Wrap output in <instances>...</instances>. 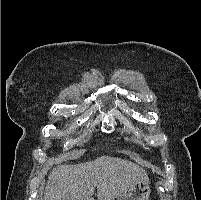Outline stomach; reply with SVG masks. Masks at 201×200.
Masks as SVG:
<instances>
[{"label": "stomach", "mask_w": 201, "mask_h": 200, "mask_svg": "<svg viewBox=\"0 0 201 200\" xmlns=\"http://www.w3.org/2000/svg\"><path fill=\"white\" fill-rule=\"evenodd\" d=\"M150 186L148 181H139L127 191L113 197L111 200H149Z\"/></svg>", "instance_id": "1"}]
</instances>
